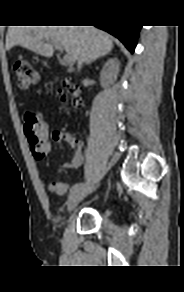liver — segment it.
<instances>
[{
    "mask_svg": "<svg viewBox=\"0 0 184 292\" xmlns=\"http://www.w3.org/2000/svg\"><path fill=\"white\" fill-rule=\"evenodd\" d=\"M49 42H58L71 61L82 63H90L113 48L110 35L94 26H12L8 29L6 49L20 45L52 57L54 47Z\"/></svg>",
    "mask_w": 184,
    "mask_h": 292,
    "instance_id": "obj_1",
    "label": "liver"
}]
</instances>
